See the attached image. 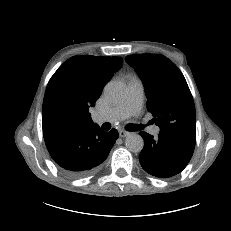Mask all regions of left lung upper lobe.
<instances>
[{
    "mask_svg": "<svg viewBox=\"0 0 231 231\" xmlns=\"http://www.w3.org/2000/svg\"><path fill=\"white\" fill-rule=\"evenodd\" d=\"M141 78L147 109L160 133L195 138L196 114L187 82L178 67L160 54H135L125 58Z\"/></svg>",
    "mask_w": 231,
    "mask_h": 231,
    "instance_id": "obj_1",
    "label": "left lung upper lobe"
}]
</instances>
